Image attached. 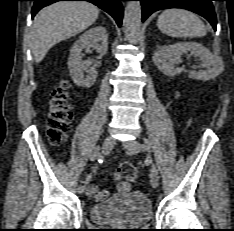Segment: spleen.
<instances>
[{"label": "spleen", "instance_id": "1", "mask_svg": "<svg viewBox=\"0 0 234 231\" xmlns=\"http://www.w3.org/2000/svg\"><path fill=\"white\" fill-rule=\"evenodd\" d=\"M157 26L162 33L176 38L206 35V27L199 17L184 9H166L158 17Z\"/></svg>", "mask_w": 234, "mask_h": 231}]
</instances>
